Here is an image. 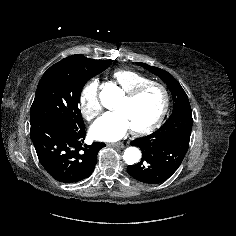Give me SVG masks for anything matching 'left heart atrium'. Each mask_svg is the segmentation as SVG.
I'll use <instances>...</instances> for the list:
<instances>
[{
	"mask_svg": "<svg viewBox=\"0 0 236 236\" xmlns=\"http://www.w3.org/2000/svg\"><path fill=\"white\" fill-rule=\"evenodd\" d=\"M131 129V124L122 111L107 112L90 128L93 138L106 142L121 139Z\"/></svg>",
	"mask_w": 236,
	"mask_h": 236,
	"instance_id": "1",
	"label": "left heart atrium"
}]
</instances>
